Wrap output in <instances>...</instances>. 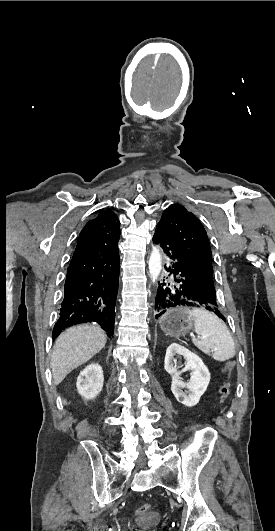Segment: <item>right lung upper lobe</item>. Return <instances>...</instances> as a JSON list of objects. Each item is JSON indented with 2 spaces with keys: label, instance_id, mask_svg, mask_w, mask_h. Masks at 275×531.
I'll return each instance as SVG.
<instances>
[{
  "label": "right lung upper lobe",
  "instance_id": "1",
  "mask_svg": "<svg viewBox=\"0 0 275 531\" xmlns=\"http://www.w3.org/2000/svg\"><path fill=\"white\" fill-rule=\"evenodd\" d=\"M119 220L112 211H102L97 218L90 220L80 232L78 243L102 234L120 233Z\"/></svg>",
  "mask_w": 275,
  "mask_h": 531
}]
</instances>
